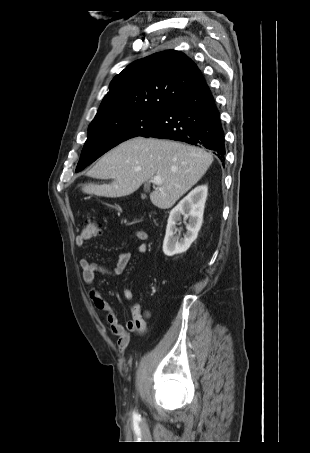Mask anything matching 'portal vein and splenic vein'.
Here are the masks:
<instances>
[{
	"label": "portal vein and splenic vein",
	"instance_id": "18ae733b",
	"mask_svg": "<svg viewBox=\"0 0 310 453\" xmlns=\"http://www.w3.org/2000/svg\"><path fill=\"white\" fill-rule=\"evenodd\" d=\"M152 183H154L156 185L162 184V180H161L160 176H155L152 180Z\"/></svg>",
	"mask_w": 310,
	"mask_h": 453
}]
</instances>
